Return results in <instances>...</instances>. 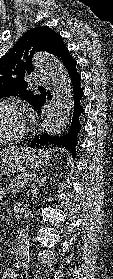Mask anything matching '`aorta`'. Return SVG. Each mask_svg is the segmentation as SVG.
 I'll return each instance as SVG.
<instances>
[{
	"mask_svg": "<svg viewBox=\"0 0 113 279\" xmlns=\"http://www.w3.org/2000/svg\"><path fill=\"white\" fill-rule=\"evenodd\" d=\"M33 64L46 73L54 86L56 101L53 112L45 119V132L49 136H58L66 127L72 108L71 82L63 64L47 52H37ZM30 236L29 226H25L17 238L16 263L19 267L29 265Z\"/></svg>",
	"mask_w": 113,
	"mask_h": 279,
	"instance_id": "762f6f07",
	"label": "aorta"
}]
</instances>
